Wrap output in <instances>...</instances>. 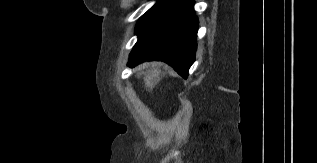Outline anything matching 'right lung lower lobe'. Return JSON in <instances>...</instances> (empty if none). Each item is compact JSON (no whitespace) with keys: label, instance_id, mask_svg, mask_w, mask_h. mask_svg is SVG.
Instances as JSON below:
<instances>
[{"label":"right lung lower lobe","instance_id":"98d812e1","mask_svg":"<svg viewBox=\"0 0 317 163\" xmlns=\"http://www.w3.org/2000/svg\"><path fill=\"white\" fill-rule=\"evenodd\" d=\"M193 5V0L178 1L154 24L139 33L128 65L133 67L146 60H160L186 78L197 48L198 20Z\"/></svg>","mask_w":317,"mask_h":163}]
</instances>
